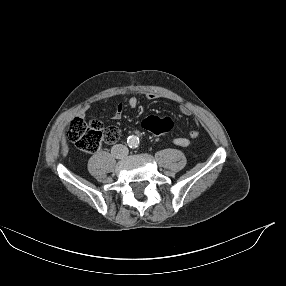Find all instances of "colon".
Masks as SVG:
<instances>
[{
    "instance_id": "1",
    "label": "colon",
    "mask_w": 286,
    "mask_h": 286,
    "mask_svg": "<svg viewBox=\"0 0 286 286\" xmlns=\"http://www.w3.org/2000/svg\"><path fill=\"white\" fill-rule=\"evenodd\" d=\"M174 126L170 117H148L144 121V128L153 132L155 136H166ZM67 138L80 150L88 153L96 152L102 143L113 144L120 137V130L116 126L104 128L96 120L86 122L81 118H74L67 130Z\"/></svg>"
}]
</instances>
